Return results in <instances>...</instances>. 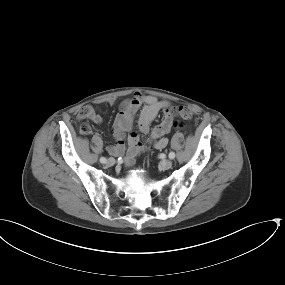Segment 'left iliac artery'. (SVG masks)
I'll return each instance as SVG.
<instances>
[{
	"instance_id": "44dca946",
	"label": "left iliac artery",
	"mask_w": 285,
	"mask_h": 285,
	"mask_svg": "<svg viewBox=\"0 0 285 285\" xmlns=\"http://www.w3.org/2000/svg\"><path fill=\"white\" fill-rule=\"evenodd\" d=\"M168 157L170 159H174L175 158V153L173 151H171L169 154H168Z\"/></svg>"
}]
</instances>
